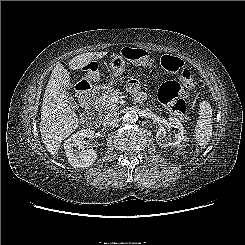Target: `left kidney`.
I'll return each mask as SVG.
<instances>
[{
	"label": "left kidney",
	"mask_w": 245,
	"mask_h": 245,
	"mask_svg": "<svg viewBox=\"0 0 245 245\" xmlns=\"http://www.w3.org/2000/svg\"><path fill=\"white\" fill-rule=\"evenodd\" d=\"M170 126L174 127L176 129V132L174 133L175 137L172 139L170 136H166V130L164 128H160L156 133V139L160 146L162 147H170L179 145L182 141L185 139V132L183 129V126L179 119L171 117L169 119ZM170 129V127H169Z\"/></svg>",
	"instance_id": "left-kidney-1"
}]
</instances>
